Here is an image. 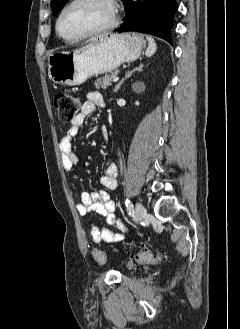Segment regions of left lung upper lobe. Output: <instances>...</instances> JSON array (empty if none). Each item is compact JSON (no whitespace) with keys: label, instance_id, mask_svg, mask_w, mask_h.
<instances>
[{"label":"left lung upper lobe","instance_id":"5c2ea615","mask_svg":"<svg viewBox=\"0 0 240 329\" xmlns=\"http://www.w3.org/2000/svg\"><path fill=\"white\" fill-rule=\"evenodd\" d=\"M68 0H51V8L55 15L63 8ZM125 0H123L124 2Z\"/></svg>","mask_w":240,"mask_h":329}]
</instances>
